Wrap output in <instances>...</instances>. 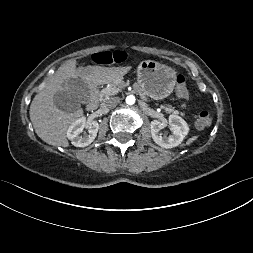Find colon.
Returning a JSON list of instances; mask_svg holds the SVG:
<instances>
[{
	"instance_id": "obj_1",
	"label": "colon",
	"mask_w": 253,
	"mask_h": 253,
	"mask_svg": "<svg viewBox=\"0 0 253 253\" xmlns=\"http://www.w3.org/2000/svg\"><path fill=\"white\" fill-rule=\"evenodd\" d=\"M123 53L120 51L115 52H98L91 56L94 63L97 64H109L118 61L122 57ZM176 93L183 97H189V88L187 81L183 75H178L176 78ZM213 119L212 112L208 109H203L199 112L196 125L200 129L207 128L211 125Z\"/></svg>"
}]
</instances>
